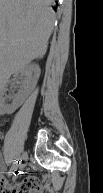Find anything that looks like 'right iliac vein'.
<instances>
[{
  "label": "right iliac vein",
  "mask_w": 103,
  "mask_h": 193,
  "mask_svg": "<svg viewBox=\"0 0 103 193\" xmlns=\"http://www.w3.org/2000/svg\"><path fill=\"white\" fill-rule=\"evenodd\" d=\"M27 159H28V155L26 152H24L21 156V161L19 164L20 169H23L26 166Z\"/></svg>",
  "instance_id": "1"
}]
</instances>
